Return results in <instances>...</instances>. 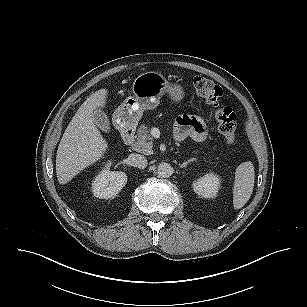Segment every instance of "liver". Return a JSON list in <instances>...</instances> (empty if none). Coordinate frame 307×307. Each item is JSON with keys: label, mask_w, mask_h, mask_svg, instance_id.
Wrapping results in <instances>:
<instances>
[{"label": "liver", "mask_w": 307, "mask_h": 307, "mask_svg": "<svg viewBox=\"0 0 307 307\" xmlns=\"http://www.w3.org/2000/svg\"><path fill=\"white\" fill-rule=\"evenodd\" d=\"M107 94L105 88L91 94L67 126L56 155V175L60 184L68 183L102 158L107 150L108 144L93 119L94 110L105 106Z\"/></svg>", "instance_id": "1"}]
</instances>
